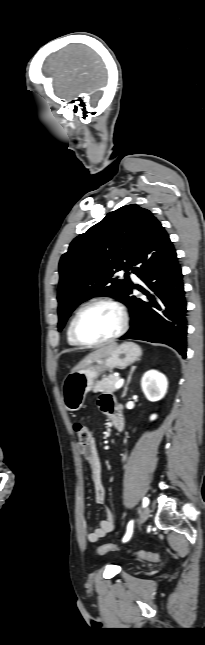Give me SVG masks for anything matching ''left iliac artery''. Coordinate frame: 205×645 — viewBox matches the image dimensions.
I'll return each instance as SVG.
<instances>
[{
  "label": "left iliac artery",
  "mask_w": 205,
  "mask_h": 645,
  "mask_svg": "<svg viewBox=\"0 0 205 645\" xmlns=\"http://www.w3.org/2000/svg\"><path fill=\"white\" fill-rule=\"evenodd\" d=\"M142 504H143V507L148 506V504H149V499H148L147 497H144V498H143V503H142ZM132 532H133V520H131V521L128 523L127 531H126V534H125V536L123 537V540H122V541H123V542H127V541L131 538V536H132Z\"/></svg>",
  "instance_id": "left-iliac-artery-1"
}]
</instances>
